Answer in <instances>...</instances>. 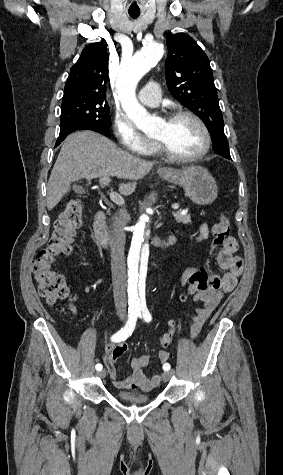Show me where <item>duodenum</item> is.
Returning a JSON list of instances; mask_svg holds the SVG:
<instances>
[{"mask_svg": "<svg viewBox=\"0 0 283 475\" xmlns=\"http://www.w3.org/2000/svg\"><path fill=\"white\" fill-rule=\"evenodd\" d=\"M94 232L98 244L107 252L111 251V244L108 236V227L106 221V213L102 210L98 211L94 218ZM172 244L170 238L161 242L160 247H166Z\"/></svg>", "mask_w": 283, "mask_h": 475, "instance_id": "1", "label": "duodenum"}]
</instances>
